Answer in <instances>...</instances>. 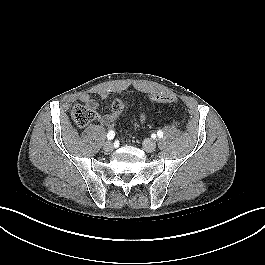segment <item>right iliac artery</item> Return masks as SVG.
<instances>
[{
	"label": "right iliac artery",
	"instance_id": "obj_1",
	"mask_svg": "<svg viewBox=\"0 0 265 265\" xmlns=\"http://www.w3.org/2000/svg\"><path fill=\"white\" fill-rule=\"evenodd\" d=\"M115 136V132L113 130H110L107 134L108 140H112Z\"/></svg>",
	"mask_w": 265,
	"mask_h": 265
}]
</instances>
